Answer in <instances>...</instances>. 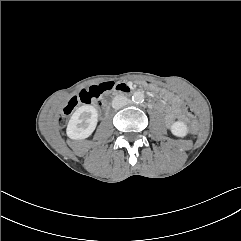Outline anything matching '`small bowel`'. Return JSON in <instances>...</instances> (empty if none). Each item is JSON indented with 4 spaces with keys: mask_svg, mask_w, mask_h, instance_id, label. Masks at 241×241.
<instances>
[{
    "mask_svg": "<svg viewBox=\"0 0 241 241\" xmlns=\"http://www.w3.org/2000/svg\"><path fill=\"white\" fill-rule=\"evenodd\" d=\"M165 97L170 101L171 106L166 110V121L172 122L173 119L180 115V104L181 101L178 97L173 96L169 93L165 94Z\"/></svg>",
    "mask_w": 241,
    "mask_h": 241,
    "instance_id": "obj_1",
    "label": "small bowel"
}]
</instances>
